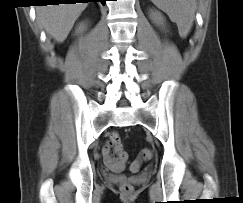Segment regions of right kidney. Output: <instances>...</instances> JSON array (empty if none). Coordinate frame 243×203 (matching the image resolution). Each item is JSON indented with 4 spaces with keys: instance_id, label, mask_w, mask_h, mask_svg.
Here are the masks:
<instances>
[{
    "instance_id": "obj_1",
    "label": "right kidney",
    "mask_w": 243,
    "mask_h": 203,
    "mask_svg": "<svg viewBox=\"0 0 243 203\" xmlns=\"http://www.w3.org/2000/svg\"><path fill=\"white\" fill-rule=\"evenodd\" d=\"M87 28V25L84 22L79 23L77 29L75 30L76 34H82Z\"/></svg>"
}]
</instances>
